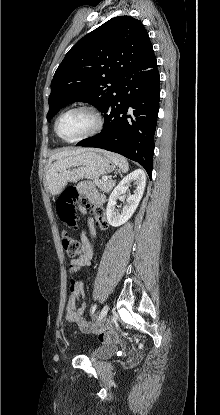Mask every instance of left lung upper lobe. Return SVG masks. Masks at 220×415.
I'll return each mask as SVG.
<instances>
[{
	"mask_svg": "<svg viewBox=\"0 0 220 415\" xmlns=\"http://www.w3.org/2000/svg\"><path fill=\"white\" fill-rule=\"evenodd\" d=\"M154 55L143 24L130 16L114 17L80 39L57 68L49 96L47 119L73 100L102 111L116 81Z\"/></svg>",
	"mask_w": 220,
	"mask_h": 415,
	"instance_id": "obj_1",
	"label": "left lung upper lobe"
}]
</instances>
